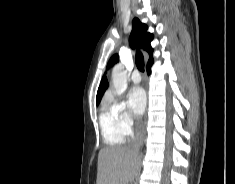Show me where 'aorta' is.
<instances>
[{"label":"aorta","mask_w":235,"mask_h":184,"mask_svg":"<svg viewBox=\"0 0 235 184\" xmlns=\"http://www.w3.org/2000/svg\"><path fill=\"white\" fill-rule=\"evenodd\" d=\"M113 86L117 92V96H121L126 90L127 86V72L124 70L122 64H116L111 74Z\"/></svg>","instance_id":"1"}]
</instances>
